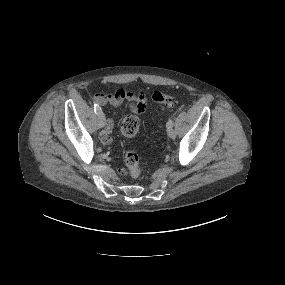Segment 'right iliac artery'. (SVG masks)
Masks as SVG:
<instances>
[{
  "mask_svg": "<svg viewBox=\"0 0 285 285\" xmlns=\"http://www.w3.org/2000/svg\"><path fill=\"white\" fill-rule=\"evenodd\" d=\"M94 111H95V113H96L97 115L100 114V113H102L101 108H100L99 105L96 104V103H94Z\"/></svg>",
  "mask_w": 285,
  "mask_h": 285,
  "instance_id": "1",
  "label": "right iliac artery"
}]
</instances>
